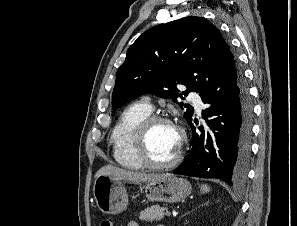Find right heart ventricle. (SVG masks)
Returning a JSON list of instances; mask_svg holds the SVG:
<instances>
[{
	"label": "right heart ventricle",
	"mask_w": 297,
	"mask_h": 226,
	"mask_svg": "<svg viewBox=\"0 0 297 226\" xmlns=\"http://www.w3.org/2000/svg\"><path fill=\"white\" fill-rule=\"evenodd\" d=\"M152 112L144 102L129 105L120 115L111 134L112 153L115 161L128 169L143 168L133 148V137L137 126Z\"/></svg>",
	"instance_id": "e07e8e85"
}]
</instances>
